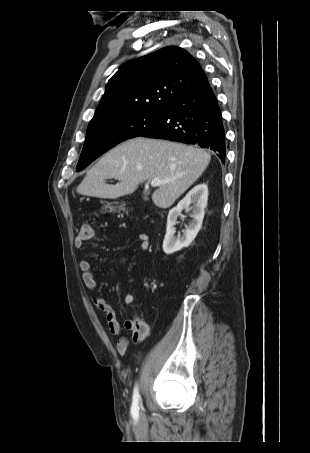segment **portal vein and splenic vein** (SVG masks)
I'll use <instances>...</instances> for the list:
<instances>
[{
	"label": "portal vein and splenic vein",
	"instance_id": "obj_1",
	"mask_svg": "<svg viewBox=\"0 0 310 453\" xmlns=\"http://www.w3.org/2000/svg\"><path fill=\"white\" fill-rule=\"evenodd\" d=\"M170 180H162L160 178H154L151 180V186L152 187H157L160 186L161 184L168 183Z\"/></svg>",
	"mask_w": 310,
	"mask_h": 453
}]
</instances>
